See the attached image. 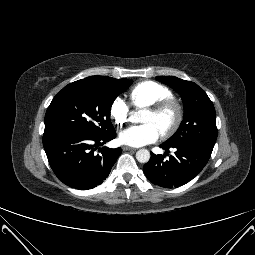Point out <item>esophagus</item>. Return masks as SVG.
Segmentation results:
<instances>
[{"label":"esophagus","mask_w":255,"mask_h":255,"mask_svg":"<svg viewBox=\"0 0 255 255\" xmlns=\"http://www.w3.org/2000/svg\"><path fill=\"white\" fill-rule=\"evenodd\" d=\"M122 149H123L124 151H134V150H136V149H134V148H132V147H129V146H123Z\"/></svg>","instance_id":"obj_1"}]
</instances>
